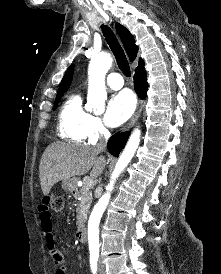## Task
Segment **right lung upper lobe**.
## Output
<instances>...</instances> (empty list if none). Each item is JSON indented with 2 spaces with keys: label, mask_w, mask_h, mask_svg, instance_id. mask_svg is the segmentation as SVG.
<instances>
[{
  "label": "right lung upper lobe",
  "mask_w": 221,
  "mask_h": 274,
  "mask_svg": "<svg viewBox=\"0 0 221 274\" xmlns=\"http://www.w3.org/2000/svg\"><path fill=\"white\" fill-rule=\"evenodd\" d=\"M116 30L121 38V41L125 47V50L129 56L130 61H134L138 52V47L135 44L134 37L124 26L120 25L119 23H116ZM73 66L74 65H71L66 71L60 83L57 95L63 94L69 88L73 76ZM142 68H144V61L141 58H139V65L136 68V70H140Z\"/></svg>",
  "instance_id": "cb5924a9"
}]
</instances>
